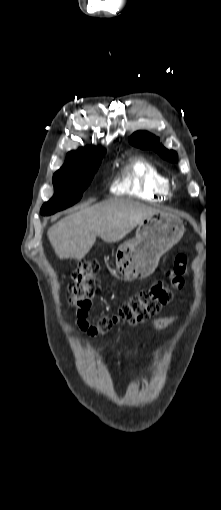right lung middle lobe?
<instances>
[{
    "label": "right lung middle lobe",
    "instance_id": "obj_1",
    "mask_svg": "<svg viewBox=\"0 0 221 510\" xmlns=\"http://www.w3.org/2000/svg\"><path fill=\"white\" fill-rule=\"evenodd\" d=\"M101 160L102 156L76 165H63L53 176L54 196L43 204L40 213L51 215L79 201L83 191L93 179Z\"/></svg>",
    "mask_w": 221,
    "mask_h": 510
}]
</instances>
